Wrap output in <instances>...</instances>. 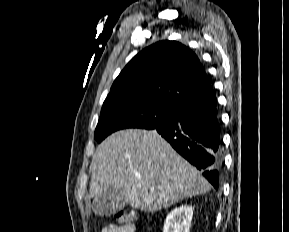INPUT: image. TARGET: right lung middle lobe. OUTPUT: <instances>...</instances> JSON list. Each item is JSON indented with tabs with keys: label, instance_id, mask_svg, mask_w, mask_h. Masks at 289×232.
I'll return each mask as SVG.
<instances>
[{
	"label": "right lung middle lobe",
	"instance_id": "1",
	"mask_svg": "<svg viewBox=\"0 0 289 232\" xmlns=\"http://www.w3.org/2000/svg\"><path fill=\"white\" fill-rule=\"evenodd\" d=\"M178 111L179 108L139 96L108 98L103 103L94 138L100 143L120 129H154L176 118Z\"/></svg>",
	"mask_w": 289,
	"mask_h": 232
}]
</instances>
